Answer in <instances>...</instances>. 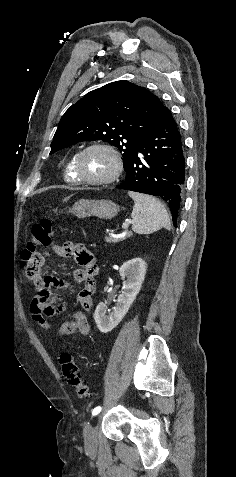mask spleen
Listing matches in <instances>:
<instances>
[{
  "label": "spleen",
  "instance_id": "obj_1",
  "mask_svg": "<svg viewBox=\"0 0 236 477\" xmlns=\"http://www.w3.org/2000/svg\"><path fill=\"white\" fill-rule=\"evenodd\" d=\"M134 200L131 214L132 230L137 234H151L161 228L170 230L171 222L164 206L156 198L129 191Z\"/></svg>",
  "mask_w": 236,
  "mask_h": 477
}]
</instances>
